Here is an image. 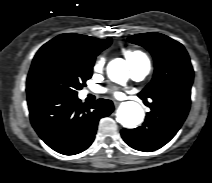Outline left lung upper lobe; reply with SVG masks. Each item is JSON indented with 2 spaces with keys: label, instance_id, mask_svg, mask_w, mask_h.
Segmentation results:
<instances>
[{
  "label": "left lung upper lobe",
  "instance_id": "obj_1",
  "mask_svg": "<svg viewBox=\"0 0 212 183\" xmlns=\"http://www.w3.org/2000/svg\"><path fill=\"white\" fill-rule=\"evenodd\" d=\"M128 40L146 48L155 60L153 79L138 95L149 98L164 92L190 91L194 71L181 43L156 32L137 34Z\"/></svg>",
  "mask_w": 212,
  "mask_h": 183
}]
</instances>
